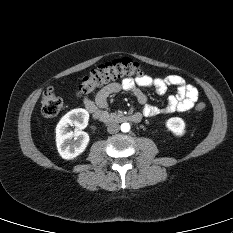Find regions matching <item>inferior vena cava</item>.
<instances>
[{"label":"inferior vena cava","mask_w":233,"mask_h":233,"mask_svg":"<svg viewBox=\"0 0 233 233\" xmlns=\"http://www.w3.org/2000/svg\"><path fill=\"white\" fill-rule=\"evenodd\" d=\"M119 129H120V126H119V124H117V123H110V124H108V127H107V131H108L110 134H113V133L118 132Z\"/></svg>","instance_id":"obj_1"}]
</instances>
